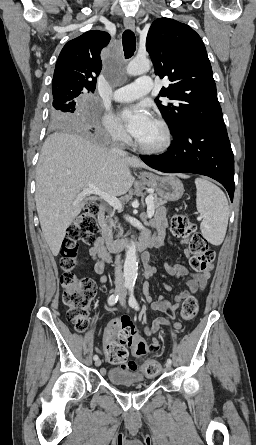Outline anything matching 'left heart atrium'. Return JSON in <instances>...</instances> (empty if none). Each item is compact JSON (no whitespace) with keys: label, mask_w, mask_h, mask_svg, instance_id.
<instances>
[{"label":"left heart atrium","mask_w":256,"mask_h":445,"mask_svg":"<svg viewBox=\"0 0 256 445\" xmlns=\"http://www.w3.org/2000/svg\"><path fill=\"white\" fill-rule=\"evenodd\" d=\"M119 118L124 123L127 131L136 139L139 138L153 122L147 109L140 105L123 108L119 113Z\"/></svg>","instance_id":"left-heart-atrium-1"}]
</instances>
